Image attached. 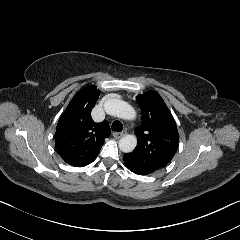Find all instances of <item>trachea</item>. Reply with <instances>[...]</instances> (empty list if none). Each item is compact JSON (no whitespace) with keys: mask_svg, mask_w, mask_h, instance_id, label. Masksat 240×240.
I'll list each match as a JSON object with an SVG mask.
<instances>
[{"mask_svg":"<svg viewBox=\"0 0 240 240\" xmlns=\"http://www.w3.org/2000/svg\"><path fill=\"white\" fill-rule=\"evenodd\" d=\"M112 130L113 131H115V132H121L122 131V129H123V124L120 122V121H118V120H116V121H114L113 123H112Z\"/></svg>","mask_w":240,"mask_h":240,"instance_id":"3493384b","label":"trachea"}]
</instances>
